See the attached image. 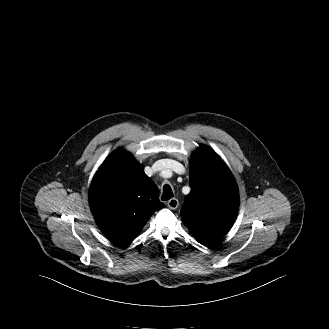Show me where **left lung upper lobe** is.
<instances>
[{
	"mask_svg": "<svg viewBox=\"0 0 329 329\" xmlns=\"http://www.w3.org/2000/svg\"><path fill=\"white\" fill-rule=\"evenodd\" d=\"M189 170L191 192L185 197L181 219L207 246L233 224L239 206L238 189L226 164L205 145L193 153Z\"/></svg>",
	"mask_w": 329,
	"mask_h": 329,
	"instance_id": "left-lung-upper-lobe-1",
	"label": "left lung upper lobe"
}]
</instances>
